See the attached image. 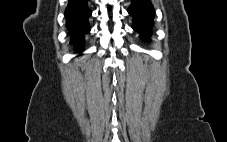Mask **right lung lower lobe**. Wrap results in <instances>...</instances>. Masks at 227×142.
I'll use <instances>...</instances> for the list:
<instances>
[{"instance_id":"1","label":"right lung lower lobe","mask_w":227,"mask_h":142,"mask_svg":"<svg viewBox=\"0 0 227 142\" xmlns=\"http://www.w3.org/2000/svg\"><path fill=\"white\" fill-rule=\"evenodd\" d=\"M68 28L72 41L77 45V50L82 51L81 45L84 42V35L90 31L88 18L91 10L87 6V0H69L65 11Z\"/></svg>"}]
</instances>
